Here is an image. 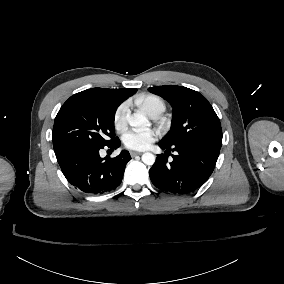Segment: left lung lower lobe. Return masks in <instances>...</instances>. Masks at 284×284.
I'll return each instance as SVG.
<instances>
[{
    "label": "left lung lower lobe",
    "mask_w": 284,
    "mask_h": 284,
    "mask_svg": "<svg viewBox=\"0 0 284 284\" xmlns=\"http://www.w3.org/2000/svg\"><path fill=\"white\" fill-rule=\"evenodd\" d=\"M159 146L166 152L175 151L173 161L158 155L149 171L155 187L163 192L187 194L195 191L212 174L220 149L201 143H179L168 145L160 141Z\"/></svg>",
    "instance_id": "0a47b994"
}]
</instances>
